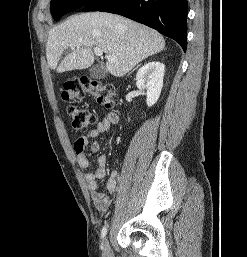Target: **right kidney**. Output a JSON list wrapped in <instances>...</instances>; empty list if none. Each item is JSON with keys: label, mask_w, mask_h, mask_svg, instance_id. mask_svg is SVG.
<instances>
[{"label": "right kidney", "mask_w": 247, "mask_h": 257, "mask_svg": "<svg viewBox=\"0 0 247 257\" xmlns=\"http://www.w3.org/2000/svg\"><path fill=\"white\" fill-rule=\"evenodd\" d=\"M165 65L152 61L142 66L136 74V86L146 90L148 107L153 106L159 99L163 87Z\"/></svg>", "instance_id": "ca27d5eb"}]
</instances>
